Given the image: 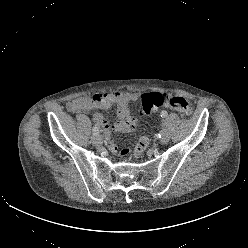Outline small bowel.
Segmentation results:
<instances>
[{"label":"small bowel","mask_w":248,"mask_h":248,"mask_svg":"<svg viewBox=\"0 0 248 248\" xmlns=\"http://www.w3.org/2000/svg\"><path fill=\"white\" fill-rule=\"evenodd\" d=\"M139 98L140 95L135 92L116 91L74 99L68 103V108L77 113L95 111L94 119L101 126L104 132L108 148L113 153H116L118 147L116 143L110 139L111 126L106 118L98 111L108 109L113 104H116L119 120L113 128L119 132H130L135 129L137 120L130 113L129 103L135 102L139 100ZM120 155L122 157H129L131 155V148L129 146H122L120 148Z\"/></svg>","instance_id":"small-bowel-1"}]
</instances>
